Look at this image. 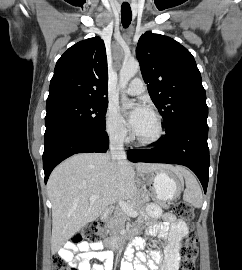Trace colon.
<instances>
[{
	"label": "colon",
	"mask_w": 242,
	"mask_h": 270,
	"mask_svg": "<svg viewBox=\"0 0 242 270\" xmlns=\"http://www.w3.org/2000/svg\"><path fill=\"white\" fill-rule=\"evenodd\" d=\"M174 213L184 221H191L194 213L193 208L186 202H179L174 206ZM107 234L105 223L101 220L89 222L81 231L77 232L71 239V243L80 244L86 241L99 239ZM182 270H196V261L198 257L197 236L193 231L187 235L181 247ZM54 270H77L75 266L70 265L60 255L52 258Z\"/></svg>",
	"instance_id": "colon-1"
}]
</instances>
